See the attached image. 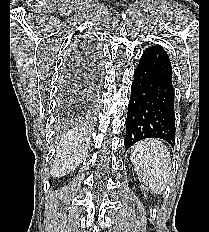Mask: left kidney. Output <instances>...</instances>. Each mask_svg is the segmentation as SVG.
<instances>
[{
  "label": "left kidney",
  "instance_id": "5707ae66",
  "mask_svg": "<svg viewBox=\"0 0 209 232\" xmlns=\"http://www.w3.org/2000/svg\"><path fill=\"white\" fill-rule=\"evenodd\" d=\"M141 188H143L144 190H146V188H145V187H143V186H141Z\"/></svg>",
  "mask_w": 209,
  "mask_h": 232
}]
</instances>
